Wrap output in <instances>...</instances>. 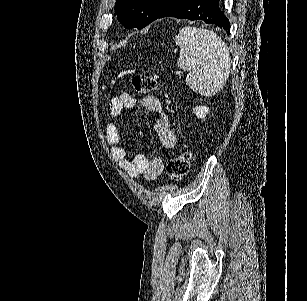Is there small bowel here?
Instances as JSON below:
<instances>
[{
  "label": "small bowel",
  "instance_id": "1",
  "mask_svg": "<svg viewBox=\"0 0 307 301\" xmlns=\"http://www.w3.org/2000/svg\"><path fill=\"white\" fill-rule=\"evenodd\" d=\"M136 98L130 93H122L110 99L108 110L113 118H118L124 109L133 108ZM140 105L156 116L154 129L158 135L161 147L170 150L175 146L176 138L170 128V117L164 109L162 102L155 96H145L140 99ZM105 138L110 146L113 158L119 163L121 169L131 178L143 176L147 180H155L164 173V160L161 157L148 159L142 154L129 157L125 148L120 145L121 135L118 127L108 123L105 127Z\"/></svg>",
  "mask_w": 307,
  "mask_h": 301
}]
</instances>
